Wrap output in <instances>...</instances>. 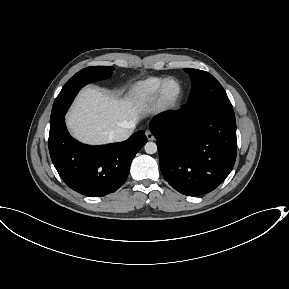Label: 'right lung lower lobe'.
Here are the masks:
<instances>
[{
    "mask_svg": "<svg viewBox=\"0 0 289 289\" xmlns=\"http://www.w3.org/2000/svg\"><path fill=\"white\" fill-rule=\"evenodd\" d=\"M146 142L145 133L138 131L123 142L85 145L69 135L64 116L50 124L48 141L52 162L63 181L91 197L119 189L128 177L132 159Z\"/></svg>",
    "mask_w": 289,
    "mask_h": 289,
    "instance_id": "right-lung-lower-lobe-1",
    "label": "right lung lower lobe"
}]
</instances>
